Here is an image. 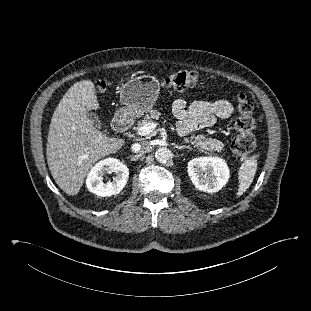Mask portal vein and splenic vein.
Segmentation results:
<instances>
[{
    "label": "portal vein and splenic vein",
    "mask_w": 311,
    "mask_h": 311,
    "mask_svg": "<svg viewBox=\"0 0 311 311\" xmlns=\"http://www.w3.org/2000/svg\"><path fill=\"white\" fill-rule=\"evenodd\" d=\"M156 126H157V123H154V122L146 123L145 125H143L142 127L138 129L137 135L147 136L151 132H153Z\"/></svg>",
    "instance_id": "portal-vein-and-splenic-vein-1"
}]
</instances>
